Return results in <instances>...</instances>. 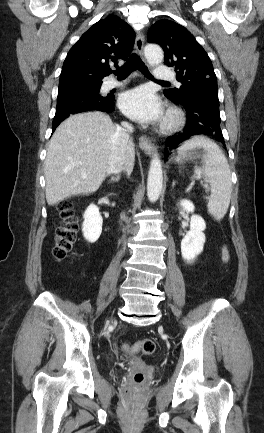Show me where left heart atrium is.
<instances>
[{
    "mask_svg": "<svg viewBox=\"0 0 264 433\" xmlns=\"http://www.w3.org/2000/svg\"><path fill=\"white\" fill-rule=\"evenodd\" d=\"M119 107L125 115L139 122H154L162 117L159 98L148 87H138L123 93Z\"/></svg>",
    "mask_w": 264,
    "mask_h": 433,
    "instance_id": "left-heart-atrium-1",
    "label": "left heart atrium"
}]
</instances>
